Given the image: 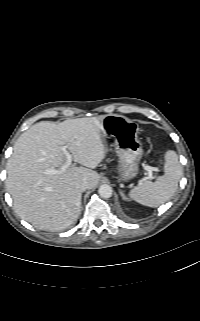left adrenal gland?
Here are the masks:
<instances>
[{"instance_id":"1","label":"left adrenal gland","mask_w":200,"mask_h":321,"mask_svg":"<svg viewBox=\"0 0 200 321\" xmlns=\"http://www.w3.org/2000/svg\"><path fill=\"white\" fill-rule=\"evenodd\" d=\"M121 197L123 200H127L128 198L124 195V193L122 192V190L119 191Z\"/></svg>"}]
</instances>
